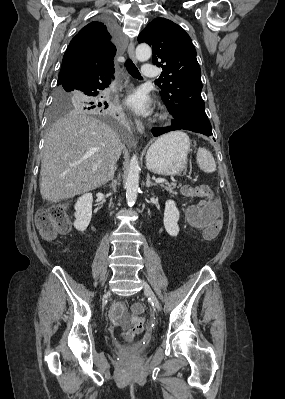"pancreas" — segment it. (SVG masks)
Returning a JSON list of instances; mask_svg holds the SVG:
<instances>
[{
  "label": "pancreas",
  "mask_w": 285,
  "mask_h": 399,
  "mask_svg": "<svg viewBox=\"0 0 285 399\" xmlns=\"http://www.w3.org/2000/svg\"><path fill=\"white\" fill-rule=\"evenodd\" d=\"M166 191L172 194H176L174 191L176 184L175 183H166L165 185H161Z\"/></svg>",
  "instance_id": "pancreas-1"
}]
</instances>
